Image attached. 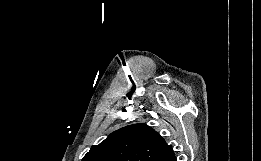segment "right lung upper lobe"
Returning a JSON list of instances; mask_svg holds the SVG:
<instances>
[{
    "label": "right lung upper lobe",
    "instance_id": "right-lung-upper-lobe-1",
    "mask_svg": "<svg viewBox=\"0 0 261 161\" xmlns=\"http://www.w3.org/2000/svg\"><path fill=\"white\" fill-rule=\"evenodd\" d=\"M172 147L146 124H133L111 133L92 146L82 161H165Z\"/></svg>",
    "mask_w": 261,
    "mask_h": 161
}]
</instances>
